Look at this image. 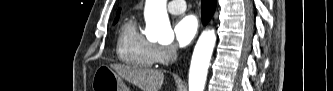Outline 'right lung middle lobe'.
Returning <instances> with one entry per match:
<instances>
[{"instance_id": "obj_1", "label": "right lung middle lobe", "mask_w": 333, "mask_h": 91, "mask_svg": "<svg viewBox=\"0 0 333 91\" xmlns=\"http://www.w3.org/2000/svg\"><path fill=\"white\" fill-rule=\"evenodd\" d=\"M117 21H118V18H116V19L114 20V23H113V24H115Z\"/></svg>"}]
</instances>
